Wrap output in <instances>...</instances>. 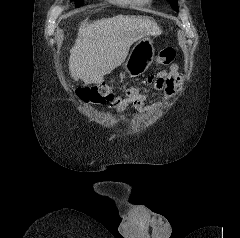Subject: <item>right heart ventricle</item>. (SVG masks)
Instances as JSON below:
<instances>
[{
    "label": "right heart ventricle",
    "mask_w": 240,
    "mask_h": 238,
    "mask_svg": "<svg viewBox=\"0 0 240 238\" xmlns=\"http://www.w3.org/2000/svg\"><path fill=\"white\" fill-rule=\"evenodd\" d=\"M107 1L122 7L143 6L149 2L148 0H107Z\"/></svg>",
    "instance_id": "obj_1"
}]
</instances>
